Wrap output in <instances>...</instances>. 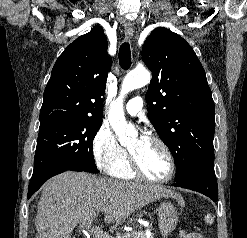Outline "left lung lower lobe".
<instances>
[{
	"instance_id": "1",
	"label": "left lung lower lobe",
	"mask_w": 247,
	"mask_h": 238,
	"mask_svg": "<svg viewBox=\"0 0 247 238\" xmlns=\"http://www.w3.org/2000/svg\"><path fill=\"white\" fill-rule=\"evenodd\" d=\"M174 186L200 192L214 202L217 201L218 185L212 165L193 167L182 179L176 181Z\"/></svg>"
}]
</instances>
